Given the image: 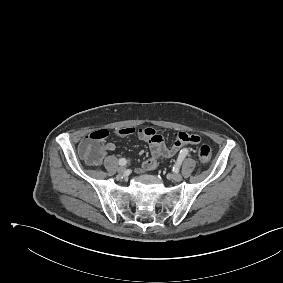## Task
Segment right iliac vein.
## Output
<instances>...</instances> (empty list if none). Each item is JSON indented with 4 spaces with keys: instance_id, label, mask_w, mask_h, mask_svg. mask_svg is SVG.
Masks as SVG:
<instances>
[{
    "instance_id": "63e3f726",
    "label": "right iliac vein",
    "mask_w": 283,
    "mask_h": 283,
    "mask_svg": "<svg viewBox=\"0 0 283 283\" xmlns=\"http://www.w3.org/2000/svg\"><path fill=\"white\" fill-rule=\"evenodd\" d=\"M118 174L119 175H124L125 172H126V168L125 167H119L118 170H117Z\"/></svg>"
}]
</instances>
